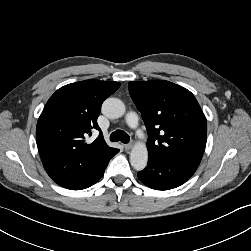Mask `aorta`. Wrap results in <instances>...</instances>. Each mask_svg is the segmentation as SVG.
Wrapping results in <instances>:
<instances>
[{
	"label": "aorta",
	"instance_id": "1",
	"mask_svg": "<svg viewBox=\"0 0 251 251\" xmlns=\"http://www.w3.org/2000/svg\"><path fill=\"white\" fill-rule=\"evenodd\" d=\"M126 111L124 103L118 98H108L102 104V112L111 119L120 118ZM148 161V150L144 143H136L130 153L131 166L137 170H143Z\"/></svg>",
	"mask_w": 251,
	"mask_h": 251
}]
</instances>
